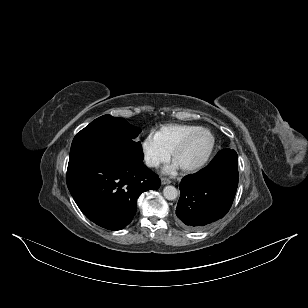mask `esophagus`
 <instances>
[{
  "label": "esophagus",
  "mask_w": 308,
  "mask_h": 308,
  "mask_svg": "<svg viewBox=\"0 0 308 308\" xmlns=\"http://www.w3.org/2000/svg\"><path fill=\"white\" fill-rule=\"evenodd\" d=\"M171 183V180L166 178V177H162L161 178V184L162 185H166V184H170Z\"/></svg>",
  "instance_id": "1"
}]
</instances>
